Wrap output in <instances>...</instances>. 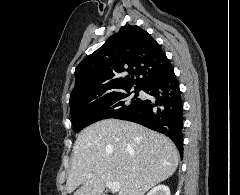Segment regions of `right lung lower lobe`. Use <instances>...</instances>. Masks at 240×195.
Returning a JSON list of instances; mask_svg holds the SVG:
<instances>
[{
  "label": "right lung lower lobe",
  "mask_w": 240,
  "mask_h": 195,
  "mask_svg": "<svg viewBox=\"0 0 240 195\" xmlns=\"http://www.w3.org/2000/svg\"><path fill=\"white\" fill-rule=\"evenodd\" d=\"M144 91L153 98L142 100L138 106L115 118L136 122L170 137L183 157V107L174 71L151 83Z\"/></svg>",
  "instance_id": "1"
}]
</instances>
